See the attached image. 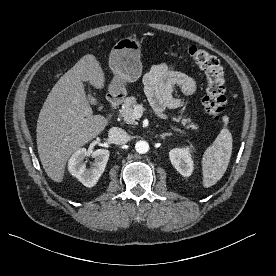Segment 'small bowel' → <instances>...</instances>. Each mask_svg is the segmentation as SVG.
I'll return each mask as SVG.
<instances>
[{"mask_svg": "<svg viewBox=\"0 0 276 276\" xmlns=\"http://www.w3.org/2000/svg\"><path fill=\"white\" fill-rule=\"evenodd\" d=\"M146 94L156 113L162 114L165 109H178L182 106L179 99L173 96L174 87L191 95L196 91L195 80L189 75L176 70L168 64H158L144 77Z\"/></svg>", "mask_w": 276, "mask_h": 276, "instance_id": "c3829d8e", "label": "small bowel"}]
</instances>
